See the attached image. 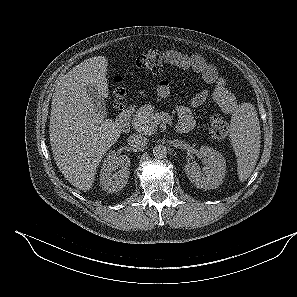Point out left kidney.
Here are the masks:
<instances>
[{
  "label": "left kidney",
  "mask_w": 297,
  "mask_h": 297,
  "mask_svg": "<svg viewBox=\"0 0 297 297\" xmlns=\"http://www.w3.org/2000/svg\"><path fill=\"white\" fill-rule=\"evenodd\" d=\"M200 152L204 158V171L199 170L196 162H189L185 165V173L199 189L218 188L225 177V159L218 151L209 146H202Z\"/></svg>",
  "instance_id": "left-kidney-1"
}]
</instances>
